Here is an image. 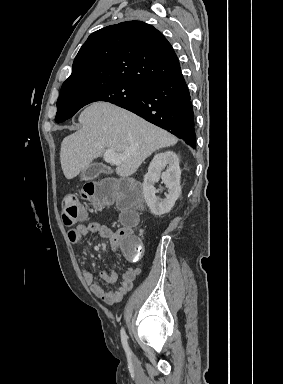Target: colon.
Wrapping results in <instances>:
<instances>
[{
    "mask_svg": "<svg viewBox=\"0 0 283 384\" xmlns=\"http://www.w3.org/2000/svg\"><path fill=\"white\" fill-rule=\"evenodd\" d=\"M81 194L96 208L117 206L125 226L117 235L118 243L128 259L139 260L143 255V245L133 236L131 230V227L137 223L138 207L141 202L138 186L131 181L108 178L86 183ZM62 208V218L66 226H74L87 218V211L79 204L77 196L73 193L63 196Z\"/></svg>",
    "mask_w": 283,
    "mask_h": 384,
    "instance_id": "5ec220e1",
    "label": "colon"
}]
</instances>
